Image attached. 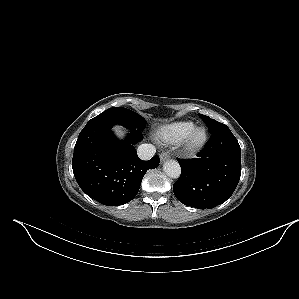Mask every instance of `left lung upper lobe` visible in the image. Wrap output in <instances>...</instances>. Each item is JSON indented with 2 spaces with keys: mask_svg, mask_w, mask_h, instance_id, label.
Returning a JSON list of instances; mask_svg holds the SVG:
<instances>
[{
  "mask_svg": "<svg viewBox=\"0 0 299 299\" xmlns=\"http://www.w3.org/2000/svg\"><path fill=\"white\" fill-rule=\"evenodd\" d=\"M199 116L206 122L207 126L209 127L210 133H213V132L219 130L220 128H222L223 126H225L224 124H222L214 119H211L208 116H205L202 114H199Z\"/></svg>",
  "mask_w": 299,
  "mask_h": 299,
  "instance_id": "left-lung-upper-lobe-1",
  "label": "left lung upper lobe"
}]
</instances>
